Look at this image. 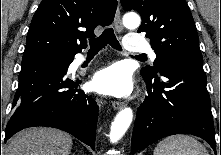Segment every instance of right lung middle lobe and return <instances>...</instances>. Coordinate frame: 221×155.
Instances as JSON below:
<instances>
[{"label": "right lung middle lobe", "mask_w": 221, "mask_h": 155, "mask_svg": "<svg viewBox=\"0 0 221 155\" xmlns=\"http://www.w3.org/2000/svg\"><path fill=\"white\" fill-rule=\"evenodd\" d=\"M50 55H53V54H50ZM53 56H57V57H60V58L66 59V60H71L73 58V57H63V56H59V55H53Z\"/></svg>", "instance_id": "1"}]
</instances>
